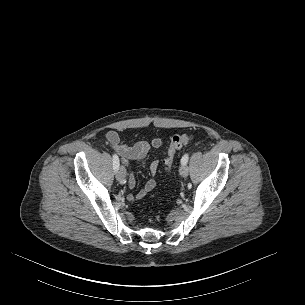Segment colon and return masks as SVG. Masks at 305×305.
<instances>
[{"label":"colon","instance_id":"1","mask_svg":"<svg viewBox=\"0 0 305 305\" xmlns=\"http://www.w3.org/2000/svg\"><path fill=\"white\" fill-rule=\"evenodd\" d=\"M191 140L192 137L187 134L173 135L171 137L167 157L164 160L167 170L171 169L176 152L183 146L187 145Z\"/></svg>","mask_w":305,"mask_h":305}]
</instances>
